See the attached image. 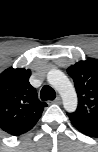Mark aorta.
<instances>
[{"label":"aorta","mask_w":98,"mask_h":152,"mask_svg":"<svg viewBox=\"0 0 98 152\" xmlns=\"http://www.w3.org/2000/svg\"><path fill=\"white\" fill-rule=\"evenodd\" d=\"M47 81L58 91L66 111L73 112L77 108V94L68 77L58 69H52L47 74Z\"/></svg>","instance_id":"obj_1"}]
</instances>
